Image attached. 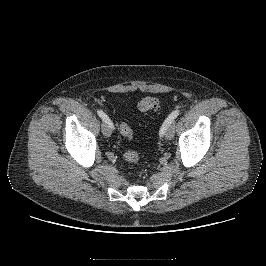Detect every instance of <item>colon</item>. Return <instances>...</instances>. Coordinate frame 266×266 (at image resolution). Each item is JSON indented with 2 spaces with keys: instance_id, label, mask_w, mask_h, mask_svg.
Here are the masks:
<instances>
[{
  "instance_id": "colon-1",
  "label": "colon",
  "mask_w": 266,
  "mask_h": 266,
  "mask_svg": "<svg viewBox=\"0 0 266 266\" xmlns=\"http://www.w3.org/2000/svg\"><path fill=\"white\" fill-rule=\"evenodd\" d=\"M158 107H159V100L156 97L152 96L144 97L138 103V109L143 112L153 111L158 109ZM119 129L124 137L127 138L132 137L133 131L128 124L122 123ZM124 159L130 164H135L139 161V155L134 151H127L124 153Z\"/></svg>"
}]
</instances>
